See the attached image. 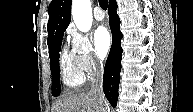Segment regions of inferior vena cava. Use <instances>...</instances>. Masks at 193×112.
I'll use <instances>...</instances> for the list:
<instances>
[{
  "instance_id": "602c4592",
  "label": "inferior vena cava",
  "mask_w": 193,
  "mask_h": 112,
  "mask_svg": "<svg viewBox=\"0 0 193 112\" xmlns=\"http://www.w3.org/2000/svg\"><path fill=\"white\" fill-rule=\"evenodd\" d=\"M92 76L93 78L91 81L90 93L95 94L100 98H103L102 94L103 66L101 63L99 62L94 63ZM104 112H106V110H104Z\"/></svg>"
}]
</instances>
